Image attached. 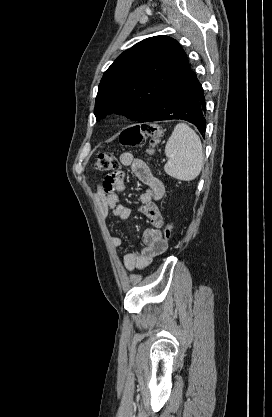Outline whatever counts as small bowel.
<instances>
[{
  "label": "small bowel",
  "mask_w": 272,
  "mask_h": 417,
  "mask_svg": "<svg viewBox=\"0 0 272 417\" xmlns=\"http://www.w3.org/2000/svg\"><path fill=\"white\" fill-rule=\"evenodd\" d=\"M122 165L131 168L132 173L141 181L146 189L139 194L140 211L147 217L150 226L143 233L144 248L141 251H132L123 258L124 267L127 270H141L147 267L154 257L163 253L167 242L162 237L163 217L156 205L165 194L163 183L153 176L147 164L134 157L129 152L119 155ZM125 191V176L123 173L107 175L102 182L97 184L94 198L98 204L100 214L103 217L112 214L121 220H126L132 213L131 207L122 203V195ZM115 247H121L124 240L121 237L111 239Z\"/></svg>",
  "instance_id": "c3829d8e"
}]
</instances>
